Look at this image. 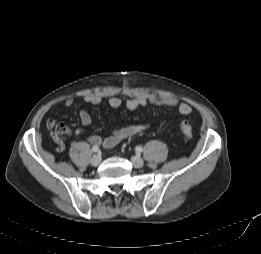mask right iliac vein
I'll use <instances>...</instances> for the list:
<instances>
[{
    "label": "right iliac vein",
    "instance_id": "right-iliac-vein-1",
    "mask_svg": "<svg viewBox=\"0 0 261 254\" xmlns=\"http://www.w3.org/2000/svg\"><path fill=\"white\" fill-rule=\"evenodd\" d=\"M100 162H101L100 155H94L90 160L91 165L94 167L98 166L100 164Z\"/></svg>",
    "mask_w": 261,
    "mask_h": 254
}]
</instances>
